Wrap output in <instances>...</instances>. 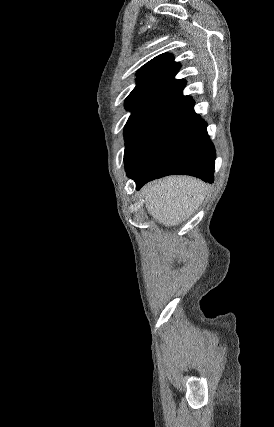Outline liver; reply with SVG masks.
Returning a JSON list of instances; mask_svg holds the SVG:
<instances>
[{
  "mask_svg": "<svg viewBox=\"0 0 274 427\" xmlns=\"http://www.w3.org/2000/svg\"><path fill=\"white\" fill-rule=\"evenodd\" d=\"M206 184L190 176H168L142 188L148 214L163 225H179L205 198Z\"/></svg>",
  "mask_w": 274,
  "mask_h": 427,
  "instance_id": "1",
  "label": "liver"
}]
</instances>
